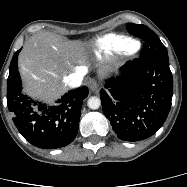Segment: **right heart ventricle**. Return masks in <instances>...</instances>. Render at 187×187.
Wrapping results in <instances>:
<instances>
[{"label": "right heart ventricle", "instance_id": "obj_1", "mask_svg": "<svg viewBox=\"0 0 187 187\" xmlns=\"http://www.w3.org/2000/svg\"><path fill=\"white\" fill-rule=\"evenodd\" d=\"M138 42L124 36L107 35L95 42L94 52L98 57H108L115 53L130 54L138 48Z\"/></svg>", "mask_w": 187, "mask_h": 187}]
</instances>
